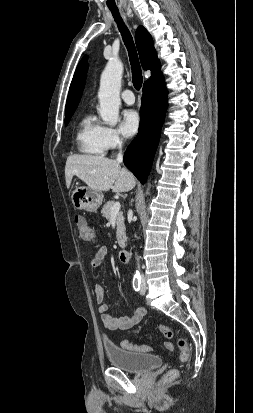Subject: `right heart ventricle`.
<instances>
[{"label":"right heart ventricle","mask_w":253,"mask_h":413,"mask_svg":"<svg viewBox=\"0 0 253 413\" xmlns=\"http://www.w3.org/2000/svg\"><path fill=\"white\" fill-rule=\"evenodd\" d=\"M103 126L91 115H85L79 122L76 132V145L79 152L90 156H103Z\"/></svg>","instance_id":"1"}]
</instances>
